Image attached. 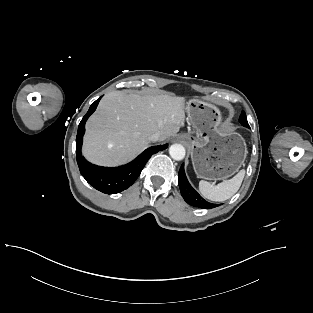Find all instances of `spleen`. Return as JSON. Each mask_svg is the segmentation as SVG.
<instances>
[{
  "instance_id": "obj_1",
  "label": "spleen",
  "mask_w": 313,
  "mask_h": 313,
  "mask_svg": "<svg viewBox=\"0 0 313 313\" xmlns=\"http://www.w3.org/2000/svg\"><path fill=\"white\" fill-rule=\"evenodd\" d=\"M245 176V170H240L233 178L225 180L218 185L201 180L199 190L201 195L211 201L222 202L231 198L240 188Z\"/></svg>"
}]
</instances>
